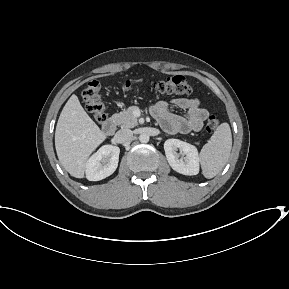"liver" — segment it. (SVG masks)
Masks as SVG:
<instances>
[{"mask_svg": "<svg viewBox=\"0 0 289 289\" xmlns=\"http://www.w3.org/2000/svg\"><path fill=\"white\" fill-rule=\"evenodd\" d=\"M105 139V133L73 94L63 107L55 130V148L61 165L71 176L83 178L88 157Z\"/></svg>", "mask_w": 289, "mask_h": 289, "instance_id": "1", "label": "liver"}]
</instances>
